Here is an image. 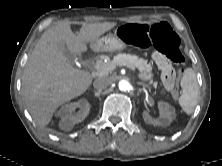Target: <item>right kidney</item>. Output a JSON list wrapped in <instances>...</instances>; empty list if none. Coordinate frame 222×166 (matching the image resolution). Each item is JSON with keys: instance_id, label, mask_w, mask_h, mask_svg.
<instances>
[{"instance_id": "ca27d5eb", "label": "right kidney", "mask_w": 222, "mask_h": 166, "mask_svg": "<svg viewBox=\"0 0 222 166\" xmlns=\"http://www.w3.org/2000/svg\"><path fill=\"white\" fill-rule=\"evenodd\" d=\"M79 108L78 112L75 110ZM90 104L86 99L72 102L62 106L57 112V116L61 118L59 127L62 130L69 131L75 124L82 122L88 115Z\"/></svg>"}]
</instances>
